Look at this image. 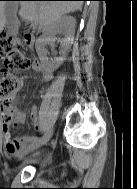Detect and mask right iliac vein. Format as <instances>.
I'll use <instances>...</instances> for the list:
<instances>
[{
    "label": "right iliac vein",
    "instance_id": "right-iliac-vein-1",
    "mask_svg": "<svg viewBox=\"0 0 137 189\" xmlns=\"http://www.w3.org/2000/svg\"><path fill=\"white\" fill-rule=\"evenodd\" d=\"M54 132V129H50L48 131V133H46L44 135V137H42L41 139L37 140L36 142H34L24 153V155L28 154L29 152H32L38 148H40L41 146L45 145L48 143V141L50 140V138L52 137Z\"/></svg>",
    "mask_w": 137,
    "mask_h": 189
}]
</instances>
